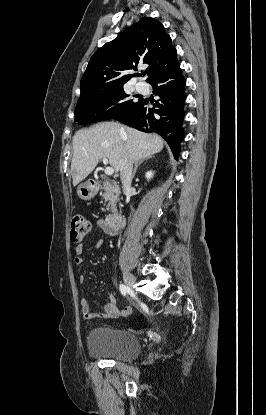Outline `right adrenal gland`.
<instances>
[{"instance_id": "1", "label": "right adrenal gland", "mask_w": 266, "mask_h": 415, "mask_svg": "<svg viewBox=\"0 0 266 415\" xmlns=\"http://www.w3.org/2000/svg\"><path fill=\"white\" fill-rule=\"evenodd\" d=\"M153 156H150V157H147V158H145V159H142V160H140V161H138V162H136L135 163V168H134V170H133V174H132V179L135 177V174H136V172H137V168L144 162V161H147L148 159H151Z\"/></svg>"}]
</instances>
